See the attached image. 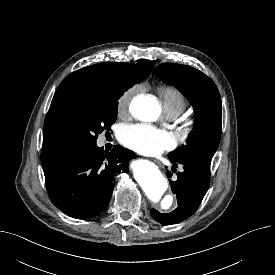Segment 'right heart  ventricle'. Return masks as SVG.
I'll use <instances>...</instances> for the list:
<instances>
[{
	"label": "right heart ventricle",
	"mask_w": 275,
	"mask_h": 275,
	"mask_svg": "<svg viewBox=\"0 0 275 275\" xmlns=\"http://www.w3.org/2000/svg\"><path fill=\"white\" fill-rule=\"evenodd\" d=\"M165 113L180 114L186 107V98L181 90L175 86H162L158 89Z\"/></svg>",
	"instance_id": "e07e8e85"
}]
</instances>
